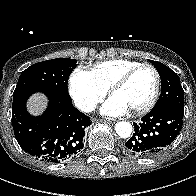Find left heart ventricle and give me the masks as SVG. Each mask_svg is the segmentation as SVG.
<instances>
[{
  "label": "left heart ventricle",
  "instance_id": "obj_1",
  "mask_svg": "<svg viewBox=\"0 0 196 196\" xmlns=\"http://www.w3.org/2000/svg\"><path fill=\"white\" fill-rule=\"evenodd\" d=\"M155 88V75L150 69H142L113 97L123 103L130 111L143 106L151 98Z\"/></svg>",
  "mask_w": 196,
  "mask_h": 196
}]
</instances>
